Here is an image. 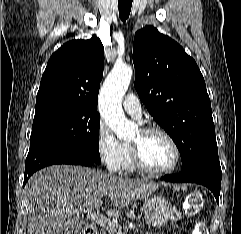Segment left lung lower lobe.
Here are the masks:
<instances>
[{"mask_svg": "<svg viewBox=\"0 0 241 234\" xmlns=\"http://www.w3.org/2000/svg\"><path fill=\"white\" fill-rule=\"evenodd\" d=\"M172 181V182H191L198 183L208 187L214 194L217 202L219 201L220 187L222 173L215 172L209 169H197L194 171L166 175L161 180Z\"/></svg>", "mask_w": 241, "mask_h": 234, "instance_id": "left-lung-lower-lobe-1", "label": "left lung lower lobe"}]
</instances>
